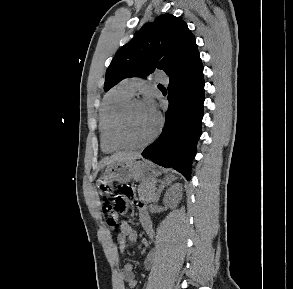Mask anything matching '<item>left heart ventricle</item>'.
Listing matches in <instances>:
<instances>
[{"label": "left heart ventricle", "mask_w": 293, "mask_h": 289, "mask_svg": "<svg viewBox=\"0 0 293 289\" xmlns=\"http://www.w3.org/2000/svg\"><path fill=\"white\" fill-rule=\"evenodd\" d=\"M157 125L156 115L145 104L134 105L128 112L122 128L124 139L131 144L145 142Z\"/></svg>", "instance_id": "b2bd125f"}]
</instances>
